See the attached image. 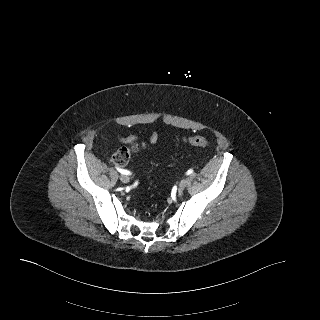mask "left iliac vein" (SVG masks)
<instances>
[{
	"label": "left iliac vein",
	"mask_w": 320,
	"mask_h": 320,
	"mask_svg": "<svg viewBox=\"0 0 320 320\" xmlns=\"http://www.w3.org/2000/svg\"><path fill=\"white\" fill-rule=\"evenodd\" d=\"M187 183H188L187 178H183L179 183L178 190L183 191L186 188Z\"/></svg>",
	"instance_id": "left-iliac-vein-1"
}]
</instances>
